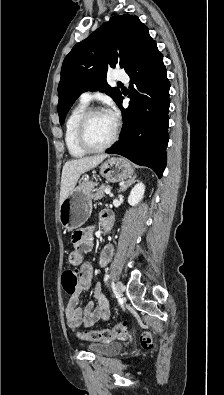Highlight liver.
<instances>
[{
	"mask_svg": "<svg viewBox=\"0 0 224 395\" xmlns=\"http://www.w3.org/2000/svg\"><path fill=\"white\" fill-rule=\"evenodd\" d=\"M107 154L82 157L65 163L61 176L60 204L74 190L80 176L100 164Z\"/></svg>",
	"mask_w": 224,
	"mask_h": 395,
	"instance_id": "obj_1",
	"label": "liver"
}]
</instances>
